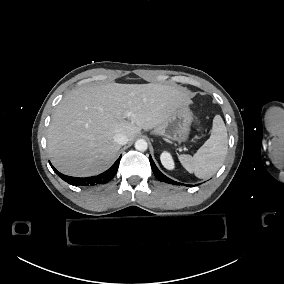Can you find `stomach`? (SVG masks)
<instances>
[{
  "instance_id": "1",
  "label": "stomach",
  "mask_w": 284,
  "mask_h": 284,
  "mask_svg": "<svg viewBox=\"0 0 284 284\" xmlns=\"http://www.w3.org/2000/svg\"><path fill=\"white\" fill-rule=\"evenodd\" d=\"M192 121L193 113L189 104H184L177 108L165 122L159 124L153 133L183 143L188 140Z\"/></svg>"
}]
</instances>
